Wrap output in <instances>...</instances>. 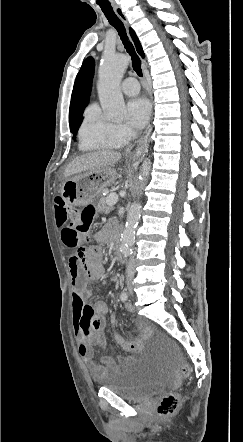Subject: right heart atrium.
<instances>
[{
  "label": "right heart atrium",
  "mask_w": 243,
  "mask_h": 442,
  "mask_svg": "<svg viewBox=\"0 0 243 442\" xmlns=\"http://www.w3.org/2000/svg\"><path fill=\"white\" fill-rule=\"evenodd\" d=\"M113 131L121 142L129 140L133 136L132 130L124 124L113 125Z\"/></svg>",
  "instance_id": "d8ad5b80"
}]
</instances>
